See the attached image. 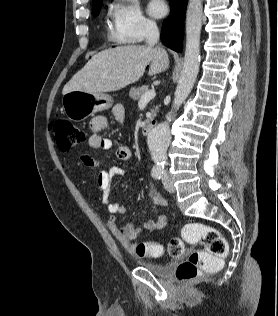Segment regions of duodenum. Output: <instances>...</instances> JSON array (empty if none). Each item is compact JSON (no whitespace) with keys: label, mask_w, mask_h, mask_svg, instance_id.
Here are the masks:
<instances>
[{"label":"duodenum","mask_w":278,"mask_h":316,"mask_svg":"<svg viewBox=\"0 0 278 316\" xmlns=\"http://www.w3.org/2000/svg\"><path fill=\"white\" fill-rule=\"evenodd\" d=\"M154 126H155L154 122H150V123L145 124L142 128V133L144 135H149L152 132Z\"/></svg>","instance_id":"410a0bca"}]
</instances>
